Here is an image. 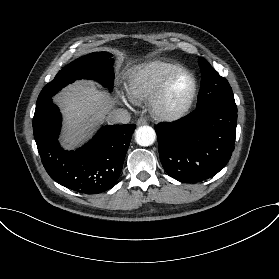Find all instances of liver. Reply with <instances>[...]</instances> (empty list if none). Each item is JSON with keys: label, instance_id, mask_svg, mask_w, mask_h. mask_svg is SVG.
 <instances>
[{"label": "liver", "instance_id": "1", "mask_svg": "<svg viewBox=\"0 0 279 279\" xmlns=\"http://www.w3.org/2000/svg\"><path fill=\"white\" fill-rule=\"evenodd\" d=\"M54 100L65 114L63 143L67 148L73 147L92 128L109 118L110 104L92 82H77L65 88Z\"/></svg>", "mask_w": 279, "mask_h": 279}]
</instances>
